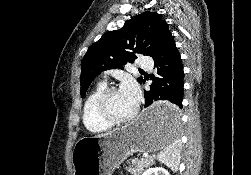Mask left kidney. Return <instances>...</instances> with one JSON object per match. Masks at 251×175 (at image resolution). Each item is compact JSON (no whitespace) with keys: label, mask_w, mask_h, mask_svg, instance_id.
<instances>
[{"label":"left kidney","mask_w":251,"mask_h":175,"mask_svg":"<svg viewBox=\"0 0 251 175\" xmlns=\"http://www.w3.org/2000/svg\"><path fill=\"white\" fill-rule=\"evenodd\" d=\"M142 175H170V173L165 167H148Z\"/></svg>","instance_id":"1"}]
</instances>
